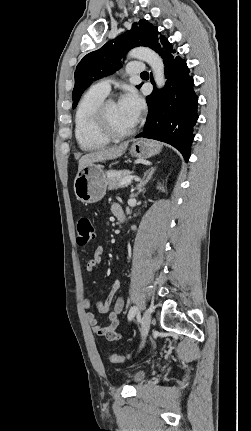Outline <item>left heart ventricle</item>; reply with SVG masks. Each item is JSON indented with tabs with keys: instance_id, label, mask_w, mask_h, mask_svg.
Returning <instances> with one entry per match:
<instances>
[{
	"instance_id": "left-heart-ventricle-1",
	"label": "left heart ventricle",
	"mask_w": 251,
	"mask_h": 431,
	"mask_svg": "<svg viewBox=\"0 0 251 431\" xmlns=\"http://www.w3.org/2000/svg\"><path fill=\"white\" fill-rule=\"evenodd\" d=\"M108 118L111 126L117 131H125L131 128L135 122L119 106L118 102H113L108 107Z\"/></svg>"
}]
</instances>
